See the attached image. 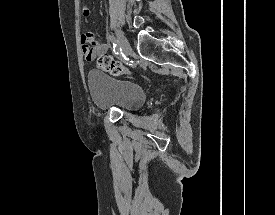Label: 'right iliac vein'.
I'll return each mask as SVG.
<instances>
[{
	"instance_id": "right-iliac-vein-1",
	"label": "right iliac vein",
	"mask_w": 275,
	"mask_h": 215,
	"mask_svg": "<svg viewBox=\"0 0 275 215\" xmlns=\"http://www.w3.org/2000/svg\"><path fill=\"white\" fill-rule=\"evenodd\" d=\"M117 42L119 44V46L121 47L123 53L125 55H129L132 52V48L128 42V40L126 39V37L124 36V34L120 31H117Z\"/></svg>"
}]
</instances>
